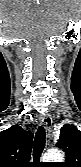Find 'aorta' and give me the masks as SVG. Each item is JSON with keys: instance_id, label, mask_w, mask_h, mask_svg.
I'll return each instance as SVG.
<instances>
[{"instance_id": "1", "label": "aorta", "mask_w": 81, "mask_h": 167, "mask_svg": "<svg viewBox=\"0 0 81 167\" xmlns=\"http://www.w3.org/2000/svg\"><path fill=\"white\" fill-rule=\"evenodd\" d=\"M44 162H63L64 153L57 149L48 150L43 156Z\"/></svg>"}]
</instances>
